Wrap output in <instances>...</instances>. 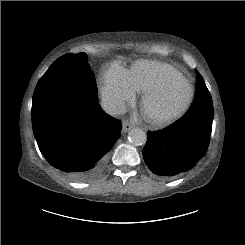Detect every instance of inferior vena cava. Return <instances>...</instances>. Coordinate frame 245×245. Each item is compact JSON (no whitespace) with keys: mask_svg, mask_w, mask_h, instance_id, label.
<instances>
[{"mask_svg":"<svg viewBox=\"0 0 245 245\" xmlns=\"http://www.w3.org/2000/svg\"><path fill=\"white\" fill-rule=\"evenodd\" d=\"M103 110L111 115H122L126 112V105L123 101L113 98H103L101 101Z\"/></svg>","mask_w":245,"mask_h":245,"instance_id":"obj_1","label":"inferior vena cava"}]
</instances>
